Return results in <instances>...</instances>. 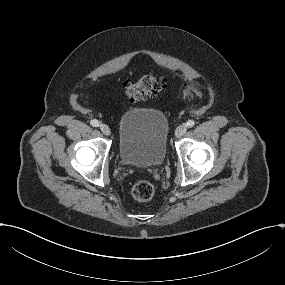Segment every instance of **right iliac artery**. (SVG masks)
<instances>
[{
	"label": "right iliac artery",
	"mask_w": 285,
	"mask_h": 285,
	"mask_svg": "<svg viewBox=\"0 0 285 285\" xmlns=\"http://www.w3.org/2000/svg\"><path fill=\"white\" fill-rule=\"evenodd\" d=\"M90 124L93 126V127H98L100 125L99 121L94 119V120H91Z\"/></svg>",
	"instance_id": "obj_1"
}]
</instances>
